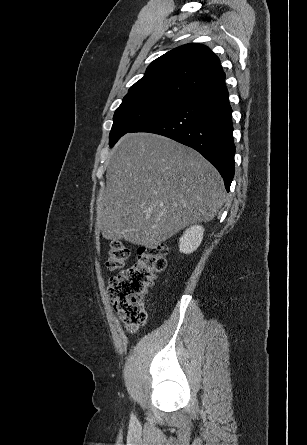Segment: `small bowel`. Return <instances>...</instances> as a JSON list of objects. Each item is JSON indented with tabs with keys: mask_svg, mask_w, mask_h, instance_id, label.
Returning <instances> with one entry per match:
<instances>
[{
	"mask_svg": "<svg viewBox=\"0 0 307 445\" xmlns=\"http://www.w3.org/2000/svg\"><path fill=\"white\" fill-rule=\"evenodd\" d=\"M124 325L126 329L129 330L130 332H134L137 328L135 324H129L127 322H124Z\"/></svg>",
	"mask_w": 307,
	"mask_h": 445,
	"instance_id": "small-bowel-1",
	"label": "small bowel"
}]
</instances>
